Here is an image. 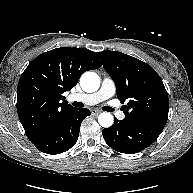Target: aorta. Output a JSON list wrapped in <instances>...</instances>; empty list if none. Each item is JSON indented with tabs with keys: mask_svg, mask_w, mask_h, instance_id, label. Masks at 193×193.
I'll list each match as a JSON object with an SVG mask.
<instances>
[{
	"mask_svg": "<svg viewBox=\"0 0 193 193\" xmlns=\"http://www.w3.org/2000/svg\"><path fill=\"white\" fill-rule=\"evenodd\" d=\"M80 86L85 92H95L100 87V77L95 72H85L80 78ZM98 122L102 127L108 128L112 126L114 118L110 113L103 112L98 116Z\"/></svg>",
	"mask_w": 193,
	"mask_h": 193,
	"instance_id": "aorta-1",
	"label": "aorta"
}]
</instances>
